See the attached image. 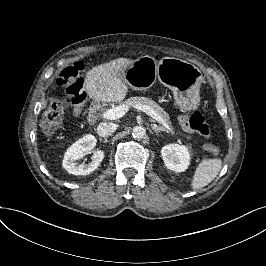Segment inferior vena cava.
<instances>
[{
	"label": "inferior vena cava",
	"instance_id": "inferior-vena-cava-1",
	"mask_svg": "<svg viewBox=\"0 0 266 266\" xmlns=\"http://www.w3.org/2000/svg\"><path fill=\"white\" fill-rule=\"evenodd\" d=\"M116 127L112 123L102 122L97 126V134L100 137H109L114 131Z\"/></svg>",
	"mask_w": 266,
	"mask_h": 266
}]
</instances>
